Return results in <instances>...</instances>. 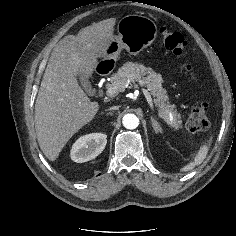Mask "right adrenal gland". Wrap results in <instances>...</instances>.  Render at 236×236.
<instances>
[{"mask_svg":"<svg viewBox=\"0 0 236 236\" xmlns=\"http://www.w3.org/2000/svg\"><path fill=\"white\" fill-rule=\"evenodd\" d=\"M106 115H111V113H106Z\"/></svg>","mask_w":236,"mask_h":236,"instance_id":"1","label":"right adrenal gland"}]
</instances>
